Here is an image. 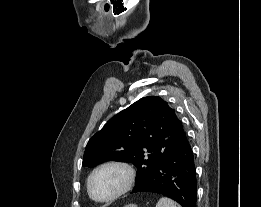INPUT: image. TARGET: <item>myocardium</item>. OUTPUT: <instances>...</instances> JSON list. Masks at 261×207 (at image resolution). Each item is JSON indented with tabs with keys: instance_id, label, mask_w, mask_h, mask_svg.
I'll use <instances>...</instances> for the list:
<instances>
[{
	"instance_id": "myocardium-1",
	"label": "myocardium",
	"mask_w": 261,
	"mask_h": 207,
	"mask_svg": "<svg viewBox=\"0 0 261 207\" xmlns=\"http://www.w3.org/2000/svg\"><path fill=\"white\" fill-rule=\"evenodd\" d=\"M119 168L121 169L124 174H125V183L124 185L112 196L106 198V199H98L94 196L93 192H92V180L94 178V176L96 175V173H98L99 171L105 169V168ZM135 177H136V173L134 168L123 161H108L105 163L100 164L99 166H97L89 175L88 180H87V190H88V194L90 196V198L97 202V203H110L114 200H116L117 198L121 197L122 195L126 194L133 186L134 181H135Z\"/></svg>"
}]
</instances>
